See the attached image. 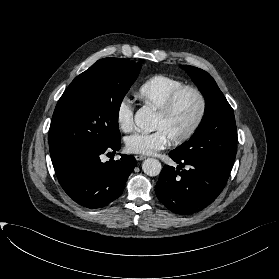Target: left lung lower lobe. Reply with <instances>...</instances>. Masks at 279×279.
Segmentation results:
<instances>
[{
	"label": "left lung lower lobe",
	"instance_id": "1",
	"mask_svg": "<svg viewBox=\"0 0 279 279\" xmlns=\"http://www.w3.org/2000/svg\"><path fill=\"white\" fill-rule=\"evenodd\" d=\"M170 157L180 164L164 166L155 191L160 202L171 212L188 215L212 203L226 185L230 170L212 161L183 159L172 151ZM188 165L189 169L182 170Z\"/></svg>",
	"mask_w": 279,
	"mask_h": 279
}]
</instances>
